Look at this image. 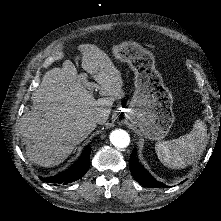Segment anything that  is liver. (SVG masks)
Returning a JSON list of instances; mask_svg holds the SVG:
<instances>
[{
    "instance_id": "liver-1",
    "label": "liver",
    "mask_w": 221,
    "mask_h": 221,
    "mask_svg": "<svg viewBox=\"0 0 221 221\" xmlns=\"http://www.w3.org/2000/svg\"><path fill=\"white\" fill-rule=\"evenodd\" d=\"M78 50L82 69L94 76L100 94L105 96L96 100L89 94L68 61L44 75L31 97L35 108L27 110L20 120L26 157L37 166L62 164L95 129L89 117L99 115L96 124H105L114 100L122 95L120 77L106 54L94 46Z\"/></svg>"
}]
</instances>
